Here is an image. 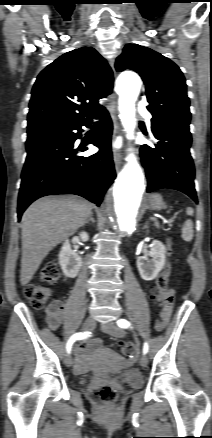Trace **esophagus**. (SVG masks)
<instances>
[{"label":"esophagus","mask_w":212,"mask_h":438,"mask_svg":"<svg viewBox=\"0 0 212 438\" xmlns=\"http://www.w3.org/2000/svg\"><path fill=\"white\" fill-rule=\"evenodd\" d=\"M111 65H112V67H114L113 60L111 61ZM109 113L111 115V118H112L113 124H114L113 135H114V138H116V136L118 135L120 129H119V123H118V117H117V109H116L115 97H113V100L111 101V103L109 105ZM121 157L122 156H121L120 151L114 150L113 160H114L116 171H119V169L121 167Z\"/></svg>","instance_id":"obj_1"}]
</instances>
